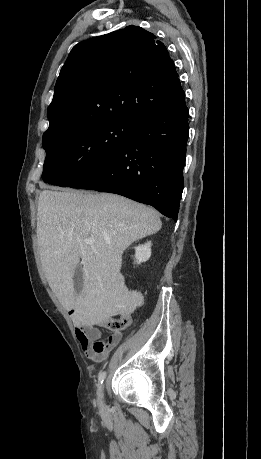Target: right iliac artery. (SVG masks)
Wrapping results in <instances>:
<instances>
[{
	"instance_id": "82829eb1",
	"label": "right iliac artery",
	"mask_w": 261,
	"mask_h": 459,
	"mask_svg": "<svg viewBox=\"0 0 261 459\" xmlns=\"http://www.w3.org/2000/svg\"><path fill=\"white\" fill-rule=\"evenodd\" d=\"M105 377H106V372H105V371L100 372V373H99V376H98V383H99V384H100V383L102 384L103 381H104V379H105Z\"/></svg>"
}]
</instances>
